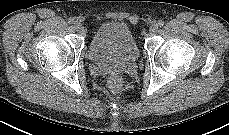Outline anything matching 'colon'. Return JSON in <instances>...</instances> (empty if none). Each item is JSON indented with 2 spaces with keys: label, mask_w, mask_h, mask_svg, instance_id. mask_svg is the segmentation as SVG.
I'll return each mask as SVG.
<instances>
[{
  "label": "colon",
  "mask_w": 229,
  "mask_h": 135,
  "mask_svg": "<svg viewBox=\"0 0 229 135\" xmlns=\"http://www.w3.org/2000/svg\"><path fill=\"white\" fill-rule=\"evenodd\" d=\"M107 84L111 92L117 93L122 87V80L119 76L112 75L108 78Z\"/></svg>",
  "instance_id": "1"
}]
</instances>
